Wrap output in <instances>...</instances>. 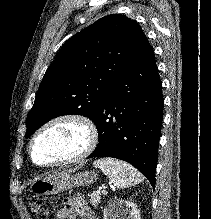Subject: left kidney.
Returning <instances> with one entry per match:
<instances>
[{
  "label": "left kidney",
  "mask_w": 211,
  "mask_h": 219,
  "mask_svg": "<svg viewBox=\"0 0 211 219\" xmlns=\"http://www.w3.org/2000/svg\"><path fill=\"white\" fill-rule=\"evenodd\" d=\"M104 219H141L137 205L129 200H113L104 210Z\"/></svg>",
  "instance_id": "5707ae66"
}]
</instances>
